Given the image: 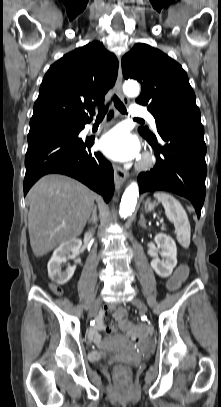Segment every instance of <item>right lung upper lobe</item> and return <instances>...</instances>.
Returning a JSON list of instances; mask_svg holds the SVG:
<instances>
[{
  "instance_id": "right-lung-upper-lobe-1",
  "label": "right lung upper lobe",
  "mask_w": 221,
  "mask_h": 407,
  "mask_svg": "<svg viewBox=\"0 0 221 407\" xmlns=\"http://www.w3.org/2000/svg\"><path fill=\"white\" fill-rule=\"evenodd\" d=\"M117 72L115 55L101 42L94 41L66 54L49 68L41 83L30 128L91 121L94 106L104 102Z\"/></svg>"
}]
</instances>
